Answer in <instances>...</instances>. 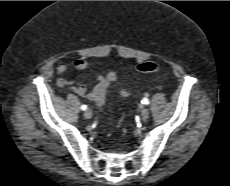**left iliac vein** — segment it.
I'll return each mask as SVG.
<instances>
[{"instance_id": "obj_1", "label": "left iliac vein", "mask_w": 230, "mask_h": 186, "mask_svg": "<svg viewBox=\"0 0 230 186\" xmlns=\"http://www.w3.org/2000/svg\"><path fill=\"white\" fill-rule=\"evenodd\" d=\"M148 117H149V110H148V108H146V107L142 108V110H141V118L143 120H146V119H148Z\"/></svg>"}]
</instances>
